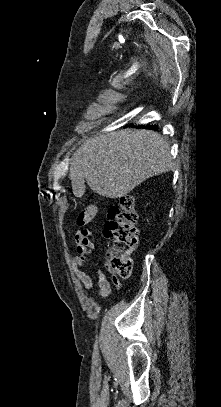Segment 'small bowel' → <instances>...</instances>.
Instances as JSON below:
<instances>
[{
  "label": "small bowel",
  "mask_w": 221,
  "mask_h": 407,
  "mask_svg": "<svg viewBox=\"0 0 221 407\" xmlns=\"http://www.w3.org/2000/svg\"><path fill=\"white\" fill-rule=\"evenodd\" d=\"M93 237L94 236L91 234L88 238L76 239L78 255L75 256L71 261V268L74 271L78 281L86 291H90L93 287L92 278L85 271V263L88 260V256L94 249ZM95 274L97 276L100 298L105 300L110 294L111 284L103 270L98 269L96 270ZM112 281L117 289L122 287V284L117 277L113 276Z\"/></svg>",
  "instance_id": "obj_1"
}]
</instances>
